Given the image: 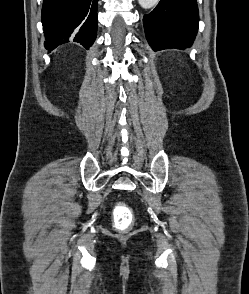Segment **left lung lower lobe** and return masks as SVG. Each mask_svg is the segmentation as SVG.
I'll return each mask as SVG.
<instances>
[{
	"mask_svg": "<svg viewBox=\"0 0 249 294\" xmlns=\"http://www.w3.org/2000/svg\"><path fill=\"white\" fill-rule=\"evenodd\" d=\"M146 38L154 51L192 45L198 29L196 0H161L143 18Z\"/></svg>",
	"mask_w": 249,
	"mask_h": 294,
	"instance_id": "1",
	"label": "left lung lower lobe"
}]
</instances>
